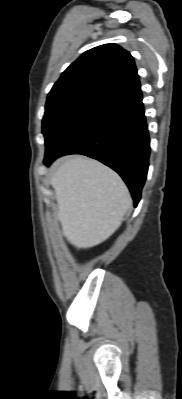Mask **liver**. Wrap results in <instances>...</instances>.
Wrapping results in <instances>:
<instances>
[{
  "instance_id": "6515ba94",
  "label": "liver",
  "mask_w": 182,
  "mask_h": 399,
  "mask_svg": "<svg viewBox=\"0 0 182 399\" xmlns=\"http://www.w3.org/2000/svg\"><path fill=\"white\" fill-rule=\"evenodd\" d=\"M63 235L76 248H90L108 239L132 205L128 188L100 162L72 157L52 175Z\"/></svg>"
}]
</instances>
